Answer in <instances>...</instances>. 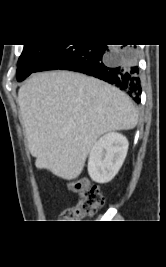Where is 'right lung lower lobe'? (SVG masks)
<instances>
[{"mask_svg":"<svg viewBox=\"0 0 166 267\" xmlns=\"http://www.w3.org/2000/svg\"><path fill=\"white\" fill-rule=\"evenodd\" d=\"M57 69L99 78L140 102L142 89L134 46L59 45L34 72Z\"/></svg>","mask_w":166,"mask_h":267,"instance_id":"98d812e1","label":"right lung lower lobe"}]
</instances>
